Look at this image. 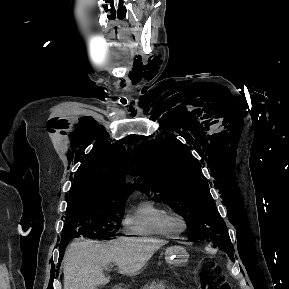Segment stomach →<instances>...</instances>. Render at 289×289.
Listing matches in <instances>:
<instances>
[{"instance_id":"stomach-1","label":"stomach","mask_w":289,"mask_h":289,"mask_svg":"<svg viewBox=\"0 0 289 289\" xmlns=\"http://www.w3.org/2000/svg\"><path fill=\"white\" fill-rule=\"evenodd\" d=\"M188 258L186 249L180 245L171 246L165 251V260L172 265L184 266L188 262Z\"/></svg>"}]
</instances>
